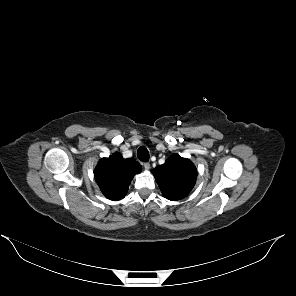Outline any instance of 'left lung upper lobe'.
Listing matches in <instances>:
<instances>
[{
	"label": "left lung upper lobe",
	"instance_id": "obj_1",
	"mask_svg": "<svg viewBox=\"0 0 296 296\" xmlns=\"http://www.w3.org/2000/svg\"><path fill=\"white\" fill-rule=\"evenodd\" d=\"M152 173L164 197L172 201L188 195L197 178L194 164L177 154L170 156L163 165L153 169Z\"/></svg>",
	"mask_w": 296,
	"mask_h": 296
}]
</instances>
